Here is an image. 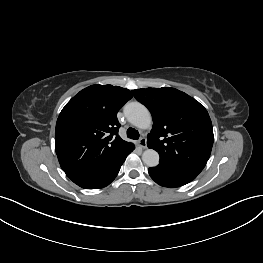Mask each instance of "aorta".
<instances>
[{"instance_id":"aorta-1","label":"aorta","mask_w":263,"mask_h":263,"mask_svg":"<svg viewBox=\"0 0 263 263\" xmlns=\"http://www.w3.org/2000/svg\"><path fill=\"white\" fill-rule=\"evenodd\" d=\"M128 121L140 129H149L152 118L149 110L139 102H130L124 108ZM142 160L148 167H155L159 163V154L153 149H147L142 154Z\"/></svg>"}]
</instances>
